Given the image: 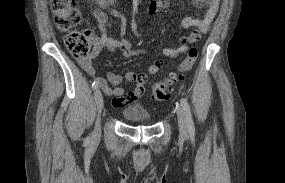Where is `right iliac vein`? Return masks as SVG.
I'll list each match as a JSON object with an SVG mask.
<instances>
[{"label": "right iliac vein", "instance_id": "right-iliac-vein-1", "mask_svg": "<svg viewBox=\"0 0 285 183\" xmlns=\"http://www.w3.org/2000/svg\"><path fill=\"white\" fill-rule=\"evenodd\" d=\"M94 98H95V103L97 106V113H98L97 122H96L95 130H94V137L98 138L100 136V115L104 107L103 97H102L101 92L98 90V88L94 92Z\"/></svg>", "mask_w": 285, "mask_h": 183}]
</instances>
